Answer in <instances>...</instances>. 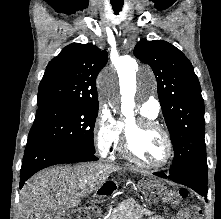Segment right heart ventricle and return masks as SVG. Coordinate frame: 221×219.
<instances>
[{"label": "right heart ventricle", "mask_w": 221, "mask_h": 219, "mask_svg": "<svg viewBox=\"0 0 221 219\" xmlns=\"http://www.w3.org/2000/svg\"><path fill=\"white\" fill-rule=\"evenodd\" d=\"M145 116H147L148 118H153V117H151L150 115H148V114H145V113H143Z\"/></svg>", "instance_id": "right-heart-ventricle-1"}]
</instances>
